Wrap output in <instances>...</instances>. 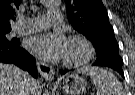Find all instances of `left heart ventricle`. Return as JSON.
Instances as JSON below:
<instances>
[{"instance_id": "left-heart-ventricle-1", "label": "left heart ventricle", "mask_w": 135, "mask_h": 95, "mask_svg": "<svg viewBox=\"0 0 135 95\" xmlns=\"http://www.w3.org/2000/svg\"><path fill=\"white\" fill-rule=\"evenodd\" d=\"M84 54H85L84 46L79 42H73L69 43L65 58L70 60H78L81 57H83Z\"/></svg>"}]
</instances>
